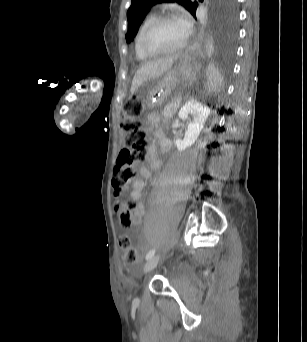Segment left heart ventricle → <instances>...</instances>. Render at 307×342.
<instances>
[{"label": "left heart ventricle", "instance_id": "1", "mask_svg": "<svg viewBox=\"0 0 307 342\" xmlns=\"http://www.w3.org/2000/svg\"><path fill=\"white\" fill-rule=\"evenodd\" d=\"M184 38L185 35L180 24L162 22L148 36L146 47L152 52H163L178 47Z\"/></svg>", "mask_w": 307, "mask_h": 342}]
</instances>
